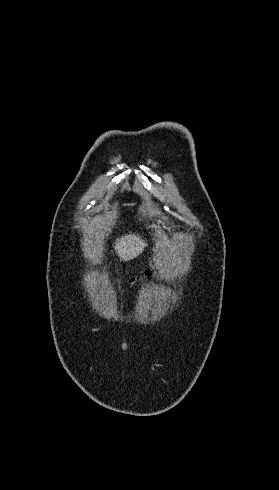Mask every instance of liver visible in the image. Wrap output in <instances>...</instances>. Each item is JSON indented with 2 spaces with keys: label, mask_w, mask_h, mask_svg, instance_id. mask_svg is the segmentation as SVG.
Here are the masks:
<instances>
[{
  "label": "liver",
  "mask_w": 279,
  "mask_h": 490,
  "mask_svg": "<svg viewBox=\"0 0 279 490\" xmlns=\"http://www.w3.org/2000/svg\"><path fill=\"white\" fill-rule=\"evenodd\" d=\"M147 246L148 244H146L145 240H141L139 236L128 234V236H123L116 242L115 250L120 262H128V260H132V258L142 254Z\"/></svg>",
  "instance_id": "liver-1"
}]
</instances>
